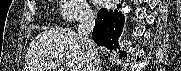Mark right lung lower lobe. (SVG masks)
I'll use <instances>...</instances> for the list:
<instances>
[{"instance_id":"right-lung-lower-lobe-1","label":"right lung lower lobe","mask_w":181,"mask_h":71,"mask_svg":"<svg viewBox=\"0 0 181 71\" xmlns=\"http://www.w3.org/2000/svg\"><path fill=\"white\" fill-rule=\"evenodd\" d=\"M121 7V5H119ZM125 17L118 10L108 11L101 9L95 20L92 38L99 45L105 46L109 50L119 49L118 38L121 35ZM121 56H127L125 51H119Z\"/></svg>"}]
</instances>
